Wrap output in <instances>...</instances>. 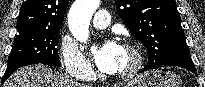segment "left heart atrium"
<instances>
[{
  "label": "left heart atrium",
  "mask_w": 205,
  "mask_h": 87,
  "mask_svg": "<svg viewBox=\"0 0 205 87\" xmlns=\"http://www.w3.org/2000/svg\"><path fill=\"white\" fill-rule=\"evenodd\" d=\"M121 48L116 42L111 41L94 52L96 64L102 72H116Z\"/></svg>",
  "instance_id": "1"
}]
</instances>
